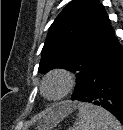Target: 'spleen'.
Listing matches in <instances>:
<instances>
[{
	"label": "spleen",
	"instance_id": "1",
	"mask_svg": "<svg viewBox=\"0 0 123 130\" xmlns=\"http://www.w3.org/2000/svg\"><path fill=\"white\" fill-rule=\"evenodd\" d=\"M78 119L71 130H123L110 112L89 103L78 104Z\"/></svg>",
	"mask_w": 123,
	"mask_h": 130
}]
</instances>
